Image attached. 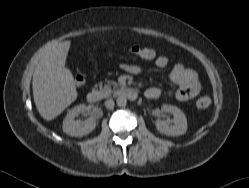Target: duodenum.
<instances>
[{"label":"duodenum","instance_id":"duodenum-1","mask_svg":"<svg viewBox=\"0 0 249 188\" xmlns=\"http://www.w3.org/2000/svg\"><path fill=\"white\" fill-rule=\"evenodd\" d=\"M121 96L134 100L137 97V91L132 88H126L121 91ZM87 100L91 104L97 103L100 100V93L97 90L90 91L87 94Z\"/></svg>","mask_w":249,"mask_h":188}]
</instances>
